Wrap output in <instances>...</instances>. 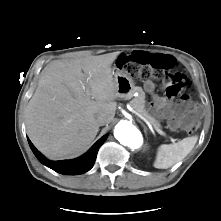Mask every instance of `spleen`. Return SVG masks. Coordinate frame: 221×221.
<instances>
[{
	"label": "spleen",
	"mask_w": 221,
	"mask_h": 221,
	"mask_svg": "<svg viewBox=\"0 0 221 221\" xmlns=\"http://www.w3.org/2000/svg\"><path fill=\"white\" fill-rule=\"evenodd\" d=\"M197 140V136H192L184 138L177 143L159 146L154 167L158 169H167L174 166L192 151Z\"/></svg>",
	"instance_id": "obj_1"
}]
</instances>
